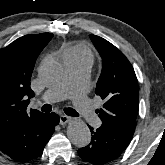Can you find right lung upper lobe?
Returning a JSON list of instances; mask_svg holds the SVG:
<instances>
[{"label": "right lung upper lobe", "mask_w": 165, "mask_h": 165, "mask_svg": "<svg viewBox=\"0 0 165 165\" xmlns=\"http://www.w3.org/2000/svg\"><path fill=\"white\" fill-rule=\"evenodd\" d=\"M53 34L25 35L0 49V137L42 115L27 110L34 92L30 79L38 55Z\"/></svg>", "instance_id": "1"}]
</instances>
